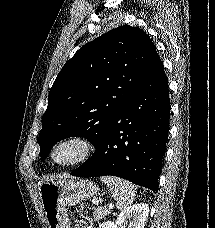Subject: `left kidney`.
I'll return each mask as SVG.
<instances>
[{"label":"left kidney","mask_w":215,"mask_h":228,"mask_svg":"<svg viewBox=\"0 0 215 228\" xmlns=\"http://www.w3.org/2000/svg\"><path fill=\"white\" fill-rule=\"evenodd\" d=\"M149 212L147 204H134V206L122 210L114 226L115 228H126V226H129V228H144Z\"/></svg>","instance_id":"obj_1"}]
</instances>
